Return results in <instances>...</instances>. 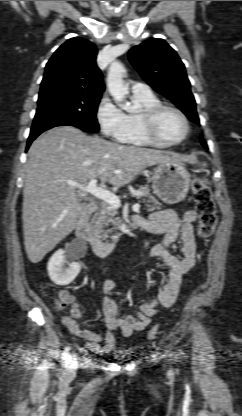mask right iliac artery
Listing matches in <instances>:
<instances>
[{
  "label": "right iliac artery",
  "mask_w": 242,
  "mask_h": 416,
  "mask_svg": "<svg viewBox=\"0 0 242 416\" xmlns=\"http://www.w3.org/2000/svg\"><path fill=\"white\" fill-rule=\"evenodd\" d=\"M69 357H70V347L67 346L63 350V353H62V356H61L62 365L67 366Z\"/></svg>",
  "instance_id": "82829eb1"
}]
</instances>
